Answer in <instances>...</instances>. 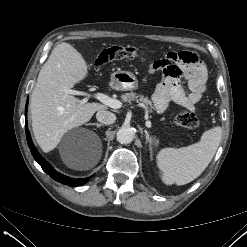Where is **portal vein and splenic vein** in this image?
Masks as SVG:
<instances>
[{
    "label": "portal vein and splenic vein",
    "mask_w": 247,
    "mask_h": 247,
    "mask_svg": "<svg viewBox=\"0 0 247 247\" xmlns=\"http://www.w3.org/2000/svg\"><path fill=\"white\" fill-rule=\"evenodd\" d=\"M68 93L73 94V95H80V96L84 95V96H86V98H84L82 100L83 103L87 102L88 98L90 97V95H88V94H86L84 92H81V91H76V90H68ZM94 97L97 100H99L100 102H102L103 104H105V105H107V106H109L111 108L119 109V108L122 107V102L121 101H119L117 99H113V98H111V97H109V96H107V95H105L103 93H96V94H94ZM146 126L148 128L151 127V122H150V120H148V116L147 115H146Z\"/></svg>",
    "instance_id": "portal-vein-and-splenic-vein-1"
}]
</instances>
